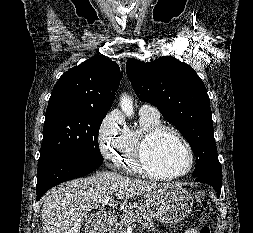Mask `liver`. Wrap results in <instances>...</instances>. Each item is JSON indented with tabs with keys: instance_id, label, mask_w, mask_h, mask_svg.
<instances>
[{
	"instance_id": "1",
	"label": "liver",
	"mask_w": 253,
	"mask_h": 233,
	"mask_svg": "<svg viewBox=\"0 0 253 233\" xmlns=\"http://www.w3.org/2000/svg\"><path fill=\"white\" fill-rule=\"evenodd\" d=\"M165 185L115 172H100L62 184L44 199L43 233H80L84 216L104 198L115 195L118 200H126Z\"/></svg>"
}]
</instances>
